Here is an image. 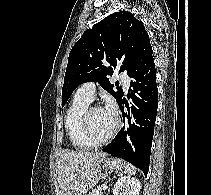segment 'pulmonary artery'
I'll return each instance as SVG.
<instances>
[{
	"label": "pulmonary artery",
	"mask_w": 211,
	"mask_h": 195,
	"mask_svg": "<svg viewBox=\"0 0 211 195\" xmlns=\"http://www.w3.org/2000/svg\"><path fill=\"white\" fill-rule=\"evenodd\" d=\"M123 86L125 90H128L130 79L126 75H122ZM96 86L92 82H87L81 85L78 90L77 94L86 97L90 101H92L95 97Z\"/></svg>",
	"instance_id": "e3ab8cb5"
}]
</instances>
